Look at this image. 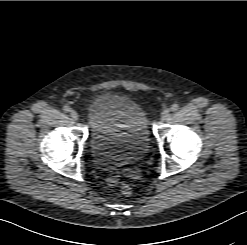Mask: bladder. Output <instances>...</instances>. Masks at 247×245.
I'll use <instances>...</instances> for the list:
<instances>
[{"label": "bladder", "mask_w": 247, "mask_h": 245, "mask_svg": "<svg viewBox=\"0 0 247 245\" xmlns=\"http://www.w3.org/2000/svg\"><path fill=\"white\" fill-rule=\"evenodd\" d=\"M93 161L114 168L142 156L150 144L148 118L135 101L114 94L97 96L87 107Z\"/></svg>", "instance_id": "1"}]
</instances>
